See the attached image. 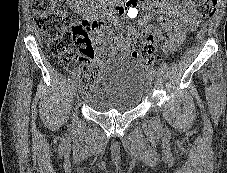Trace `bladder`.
I'll return each instance as SVG.
<instances>
[{
  "label": "bladder",
  "mask_w": 227,
  "mask_h": 173,
  "mask_svg": "<svg viewBox=\"0 0 227 173\" xmlns=\"http://www.w3.org/2000/svg\"><path fill=\"white\" fill-rule=\"evenodd\" d=\"M145 72L132 58L104 65L85 95V103L100 113H126L134 110L145 95Z\"/></svg>",
  "instance_id": "1"
}]
</instances>
